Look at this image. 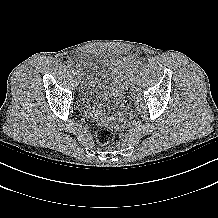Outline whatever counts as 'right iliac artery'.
Wrapping results in <instances>:
<instances>
[{
    "instance_id": "obj_1",
    "label": "right iliac artery",
    "mask_w": 218,
    "mask_h": 218,
    "mask_svg": "<svg viewBox=\"0 0 218 218\" xmlns=\"http://www.w3.org/2000/svg\"><path fill=\"white\" fill-rule=\"evenodd\" d=\"M67 65H68V67H72L73 62L72 61H68Z\"/></svg>"
}]
</instances>
